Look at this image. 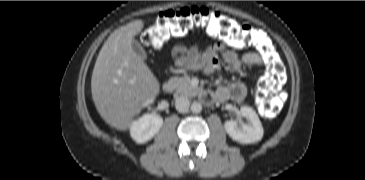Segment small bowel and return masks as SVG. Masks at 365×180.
<instances>
[{"label": "small bowel", "mask_w": 365, "mask_h": 180, "mask_svg": "<svg viewBox=\"0 0 365 180\" xmlns=\"http://www.w3.org/2000/svg\"><path fill=\"white\" fill-rule=\"evenodd\" d=\"M171 57L177 66L204 74H213L219 71L221 61L234 71H240L245 66L263 65L262 58L255 52L239 55L232 50L224 49L220 44H211L204 49L177 45L171 50ZM246 93L245 84L236 82L229 86L220 87L215 92L214 97L219 100L241 101Z\"/></svg>", "instance_id": "small-bowel-1"}]
</instances>
